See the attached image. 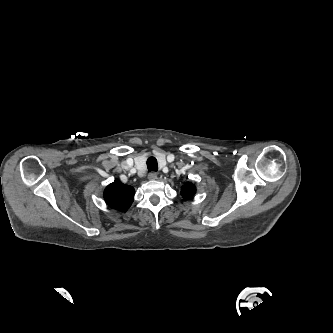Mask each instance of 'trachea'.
<instances>
[{
    "label": "trachea",
    "instance_id": "obj_1",
    "mask_svg": "<svg viewBox=\"0 0 333 333\" xmlns=\"http://www.w3.org/2000/svg\"><path fill=\"white\" fill-rule=\"evenodd\" d=\"M147 168L149 172L158 170V163L155 157H149L147 159Z\"/></svg>",
    "mask_w": 333,
    "mask_h": 333
}]
</instances>
